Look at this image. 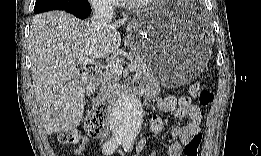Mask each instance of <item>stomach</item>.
I'll return each mask as SVG.
<instances>
[{"label": "stomach", "mask_w": 261, "mask_h": 156, "mask_svg": "<svg viewBox=\"0 0 261 156\" xmlns=\"http://www.w3.org/2000/svg\"><path fill=\"white\" fill-rule=\"evenodd\" d=\"M188 2H157L130 24L133 49L145 56L154 77L164 84L182 85L195 79L211 54V37L185 17Z\"/></svg>", "instance_id": "0dacf381"}]
</instances>
